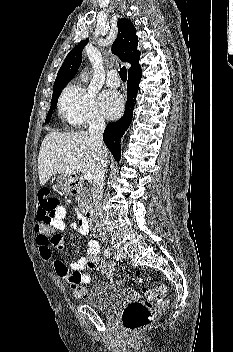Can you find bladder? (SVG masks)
Here are the masks:
<instances>
[{
  "label": "bladder",
  "mask_w": 233,
  "mask_h": 352,
  "mask_svg": "<svg viewBox=\"0 0 233 352\" xmlns=\"http://www.w3.org/2000/svg\"><path fill=\"white\" fill-rule=\"evenodd\" d=\"M126 298V291L120 283L114 281L95 284L87 297L90 306L98 311L112 315Z\"/></svg>",
  "instance_id": "obj_1"
}]
</instances>
